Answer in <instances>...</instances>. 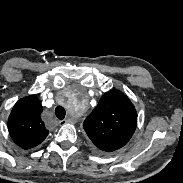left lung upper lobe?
I'll list each match as a JSON object with an SVG mask.
<instances>
[{"label":"left lung upper lobe","instance_id":"left-lung-upper-lobe-1","mask_svg":"<svg viewBox=\"0 0 183 183\" xmlns=\"http://www.w3.org/2000/svg\"><path fill=\"white\" fill-rule=\"evenodd\" d=\"M136 126V109L129 98L118 90L105 93L83 123L93 144L106 152L126 145Z\"/></svg>","mask_w":183,"mask_h":183}]
</instances>
